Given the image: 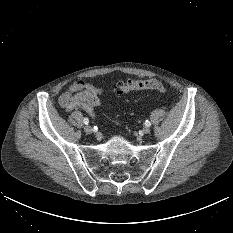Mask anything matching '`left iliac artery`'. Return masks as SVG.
Here are the masks:
<instances>
[{
  "label": "left iliac artery",
  "mask_w": 233,
  "mask_h": 233,
  "mask_svg": "<svg viewBox=\"0 0 233 233\" xmlns=\"http://www.w3.org/2000/svg\"><path fill=\"white\" fill-rule=\"evenodd\" d=\"M145 125L147 126V127H149L150 125H151V123H150V121H145Z\"/></svg>",
  "instance_id": "44dca946"
}]
</instances>
